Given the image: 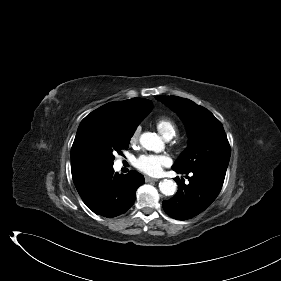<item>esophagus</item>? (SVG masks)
Here are the masks:
<instances>
[{
  "label": "esophagus",
  "instance_id": "obj_1",
  "mask_svg": "<svg viewBox=\"0 0 281 281\" xmlns=\"http://www.w3.org/2000/svg\"><path fill=\"white\" fill-rule=\"evenodd\" d=\"M145 181H146V182H157L158 179L151 178V177H145Z\"/></svg>",
  "mask_w": 281,
  "mask_h": 281
}]
</instances>
